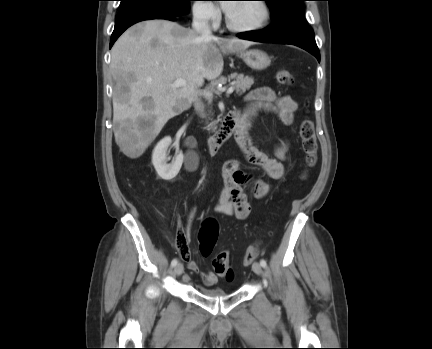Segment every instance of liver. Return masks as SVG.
<instances>
[{
	"label": "liver",
	"instance_id": "obj_1",
	"mask_svg": "<svg viewBox=\"0 0 432 349\" xmlns=\"http://www.w3.org/2000/svg\"><path fill=\"white\" fill-rule=\"evenodd\" d=\"M253 44L241 39L204 38L166 20L138 23L111 50L115 142L129 158L140 157L171 118L190 108L204 79L223 71L222 53ZM182 78L186 85L172 88Z\"/></svg>",
	"mask_w": 432,
	"mask_h": 349
}]
</instances>
